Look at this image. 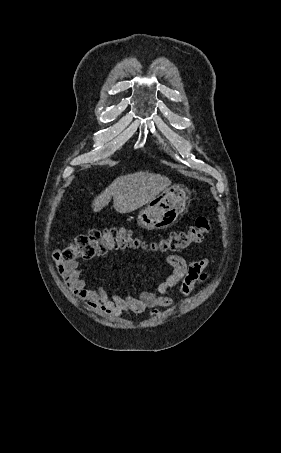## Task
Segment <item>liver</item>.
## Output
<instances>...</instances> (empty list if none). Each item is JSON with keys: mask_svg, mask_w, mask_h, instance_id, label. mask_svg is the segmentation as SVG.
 Here are the masks:
<instances>
[{"mask_svg": "<svg viewBox=\"0 0 281 453\" xmlns=\"http://www.w3.org/2000/svg\"><path fill=\"white\" fill-rule=\"evenodd\" d=\"M169 184L171 180L168 176L142 172V170L126 176H118L105 188L104 192L94 198L93 210L99 212L103 206H107L113 196V206L117 212H132L155 198Z\"/></svg>", "mask_w": 281, "mask_h": 453, "instance_id": "6515ba94", "label": "liver"}]
</instances>
